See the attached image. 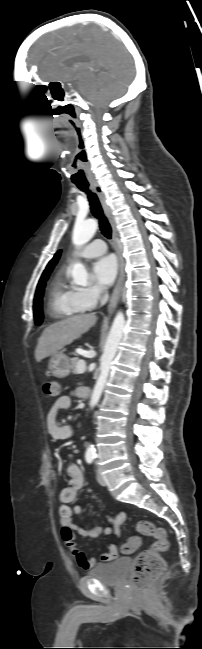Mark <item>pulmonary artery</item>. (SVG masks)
I'll return each instance as SVG.
<instances>
[{"instance_id":"obj_1","label":"pulmonary artery","mask_w":202,"mask_h":649,"mask_svg":"<svg viewBox=\"0 0 202 649\" xmlns=\"http://www.w3.org/2000/svg\"><path fill=\"white\" fill-rule=\"evenodd\" d=\"M106 244L101 239H96L78 251L71 253V257L91 258L106 252Z\"/></svg>"}]
</instances>
